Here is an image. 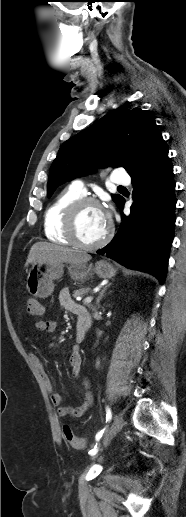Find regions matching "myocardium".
Masks as SVG:
<instances>
[{"label":"myocardium","instance_id":"obj_1","mask_svg":"<svg viewBox=\"0 0 186 517\" xmlns=\"http://www.w3.org/2000/svg\"><path fill=\"white\" fill-rule=\"evenodd\" d=\"M94 205L100 207V203L93 197L82 196L75 200L67 209L65 214V232L73 245L84 250L98 249L109 242L113 234V227L109 224L106 233L98 241L86 243L82 241L78 234V218L82 209L86 206Z\"/></svg>","mask_w":186,"mask_h":517}]
</instances>
